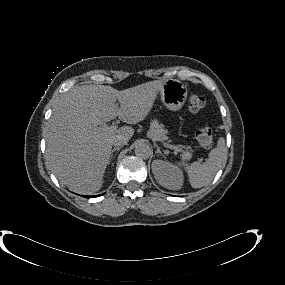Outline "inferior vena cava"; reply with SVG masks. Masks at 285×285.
Wrapping results in <instances>:
<instances>
[{
	"label": "inferior vena cava",
	"instance_id": "1",
	"mask_svg": "<svg viewBox=\"0 0 285 285\" xmlns=\"http://www.w3.org/2000/svg\"><path fill=\"white\" fill-rule=\"evenodd\" d=\"M128 142V139L125 136H117L113 141V146H123L126 145Z\"/></svg>",
	"mask_w": 285,
	"mask_h": 285
}]
</instances>
